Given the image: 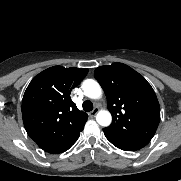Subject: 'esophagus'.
Wrapping results in <instances>:
<instances>
[{"label": "esophagus", "mask_w": 181, "mask_h": 181, "mask_svg": "<svg viewBox=\"0 0 181 181\" xmlns=\"http://www.w3.org/2000/svg\"><path fill=\"white\" fill-rule=\"evenodd\" d=\"M99 108L95 107L90 113V117H95V115L98 113Z\"/></svg>", "instance_id": "esophagus-1"}]
</instances>
